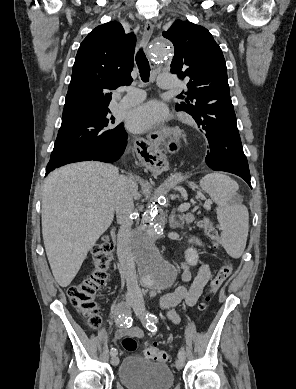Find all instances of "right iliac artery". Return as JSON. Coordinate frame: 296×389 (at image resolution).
Masks as SVG:
<instances>
[{
    "label": "right iliac artery",
    "mask_w": 296,
    "mask_h": 389,
    "mask_svg": "<svg viewBox=\"0 0 296 389\" xmlns=\"http://www.w3.org/2000/svg\"><path fill=\"white\" fill-rule=\"evenodd\" d=\"M128 308L127 304L122 302L118 304L117 306V314H119L117 318V325L123 326L126 324V319H125V314H124V309ZM111 356H115L117 354L116 349L112 348L110 351Z\"/></svg>",
    "instance_id": "obj_1"
}]
</instances>
